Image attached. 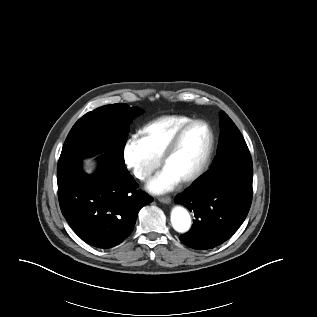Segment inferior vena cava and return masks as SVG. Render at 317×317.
Here are the masks:
<instances>
[{
    "mask_svg": "<svg viewBox=\"0 0 317 317\" xmlns=\"http://www.w3.org/2000/svg\"><path fill=\"white\" fill-rule=\"evenodd\" d=\"M142 177L145 179V178H149L150 177V173L149 172H147V173H145V174H142Z\"/></svg>",
    "mask_w": 317,
    "mask_h": 317,
    "instance_id": "obj_1",
    "label": "inferior vena cava"
}]
</instances>
